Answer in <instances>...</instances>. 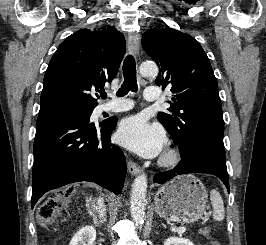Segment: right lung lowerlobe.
<instances>
[{
	"instance_id": "right-lung-lower-lobe-1",
	"label": "right lung lower lobe",
	"mask_w": 266,
	"mask_h": 245,
	"mask_svg": "<svg viewBox=\"0 0 266 245\" xmlns=\"http://www.w3.org/2000/svg\"><path fill=\"white\" fill-rule=\"evenodd\" d=\"M91 114L66 115L36 127L32 208L52 189L90 181L121 192L126 174L122 150L110 142L116 119L89 123Z\"/></svg>"
}]
</instances>
